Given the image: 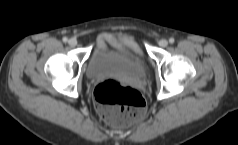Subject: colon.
<instances>
[{
	"label": "colon",
	"mask_w": 238,
	"mask_h": 145,
	"mask_svg": "<svg viewBox=\"0 0 238 145\" xmlns=\"http://www.w3.org/2000/svg\"><path fill=\"white\" fill-rule=\"evenodd\" d=\"M97 111L106 121L126 125L140 120L146 109L142 94L115 79L98 84L94 90Z\"/></svg>",
	"instance_id": "colon-1"
}]
</instances>
